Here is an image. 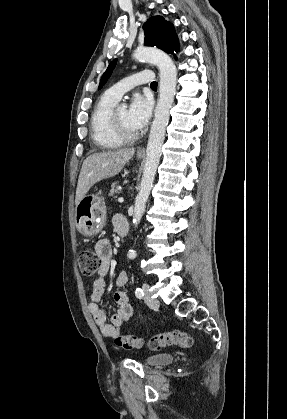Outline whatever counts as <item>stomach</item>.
Masks as SVG:
<instances>
[{
  "instance_id": "0dacf381",
  "label": "stomach",
  "mask_w": 287,
  "mask_h": 419,
  "mask_svg": "<svg viewBox=\"0 0 287 419\" xmlns=\"http://www.w3.org/2000/svg\"><path fill=\"white\" fill-rule=\"evenodd\" d=\"M105 221L106 207L101 197L88 194L80 200L75 209V224L82 235H97L103 229Z\"/></svg>"
}]
</instances>
